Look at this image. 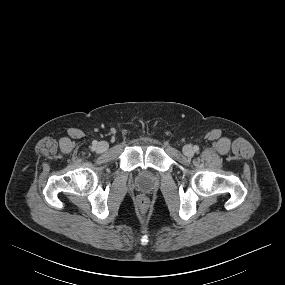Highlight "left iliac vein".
Returning <instances> with one entry per match:
<instances>
[{
    "label": "left iliac vein",
    "instance_id": "1",
    "mask_svg": "<svg viewBox=\"0 0 285 285\" xmlns=\"http://www.w3.org/2000/svg\"><path fill=\"white\" fill-rule=\"evenodd\" d=\"M193 148L191 145H185L183 147V153L186 155V156H191L193 154Z\"/></svg>",
    "mask_w": 285,
    "mask_h": 285
}]
</instances>
